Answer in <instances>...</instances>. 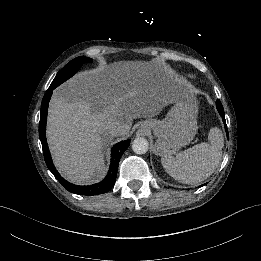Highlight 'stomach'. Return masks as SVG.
I'll use <instances>...</instances> for the list:
<instances>
[{"instance_id":"0dacf381","label":"stomach","mask_w":261,"mask_h":261,"mask_svg":"<svg viewBox=\"0 0 261 261\" xmlns=\"http://www.w3.org/2000/svg\"><path fill=\"white\" fill-rule=\"evenodd\" d=\"M172 107L163 120L147 119L144 128L152 129L156 142L154 153L162 157L175 154L190 143L197 133L198 101L190 86L177 87Z\"/></svg>"}]
</instances>
